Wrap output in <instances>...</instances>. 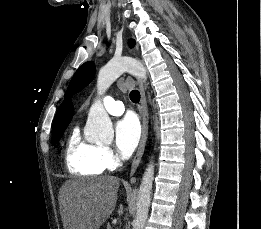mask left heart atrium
I'll list each match as a JSON object with an SVG mask.
<instances>
[{
    "instance_id": "1",
    "label": "left heart atrium",
    "mask_w": 261,
    "mask_h": 229,
    "mask_svg": "<svg viewBox=\"0 0 261 229\" xmlns=\"http://www.w3.org/2000/svg\"><path fill=\"white\" fill-rule=\"evenodd\" d=\"M141 125L135 116L129 115L120 120L115 127V144L125 157L131 155L139 144Z\"/></svg>"
}]
</instances>
